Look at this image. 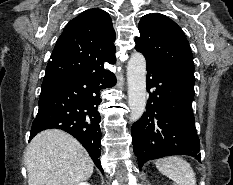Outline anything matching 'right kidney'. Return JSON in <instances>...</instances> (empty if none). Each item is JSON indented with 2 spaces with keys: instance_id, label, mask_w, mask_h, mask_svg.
Here are the masks:
<instances>
[{
  "instance_id": "1",
  "label": "right kidney",
  "mask_w": 233,
  "mask_h": 185,
  "mask_svg": "<svg viewBox=\"0 0 233 185\" xmlns=\"http://www.w3.org/2000/svg\"><path fill=\"white\" fill-rule=\"evenodd\" d=\"M78 185H90V184H88L87 182H81Z\"/></svg>"
}]
</instances>
